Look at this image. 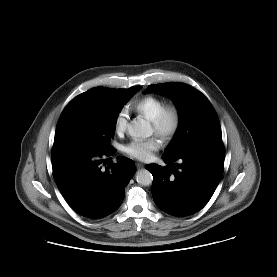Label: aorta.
I'll return each mask as SVG.
<instances>
[{
    "label": "aorta",
    "instance_id": "1",
    "mask_svg": "<svg viewBox=\"0 0 277 277\" xmlns=\"http://www.w3.org/2000/svg\"><path fill=\"white\" fill-rule=\"evenodd\" d=\"M128 133L133 138H147L151 136L152 129L147 121L135 119L132 124L128 125ZM136 181L143 186H148L152 183L153 176L150 171L142 169L136 173Z\"/></svg>",
    "mask_w": 277,
    "mask_h": 277
}]
</instances>
